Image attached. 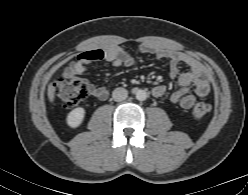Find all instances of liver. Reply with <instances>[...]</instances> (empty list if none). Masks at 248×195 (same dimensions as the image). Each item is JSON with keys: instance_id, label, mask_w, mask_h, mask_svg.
<instances>
[{"instance_id": "liver-1", "label": "liver", "mask_w": 248, "mask_h": 195, "mask_svg": "<svg viewBox=\"0 0 248 195\" xmlns=\"http://www.w3.org/2000/svg\"><path fill=\"white\" fill-rule=\"evenodd\" d=\"M47 95H48L49 101L51 103H53L54 100H55V93H54V87H53V84L52 83H50L48 85Z\"/></svg>"}]
</instances>
